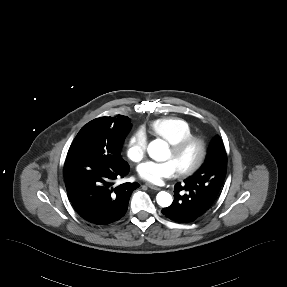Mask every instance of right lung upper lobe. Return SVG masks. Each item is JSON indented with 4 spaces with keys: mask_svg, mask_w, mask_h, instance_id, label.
Wrapping results in <instances>:
<instances>
[{
    "mask_svg": "<svg viewBox=\"0 0 287 287\" xmlns=\"http://www.w3.org/2000/svg\"><path fill=\"white\" fill-rule=\"evenodd\" d=\"M98 126V132L101 136L107 139L114 138L119 129L130 122L127 116H119V117H100L92 120Z\"/></svg>",
    "mask_w": 287,
    "mask_h": 287,
    "instance_id": "cb5924a9",
    "label": "right lung upper lobe"
}]
</instances>
